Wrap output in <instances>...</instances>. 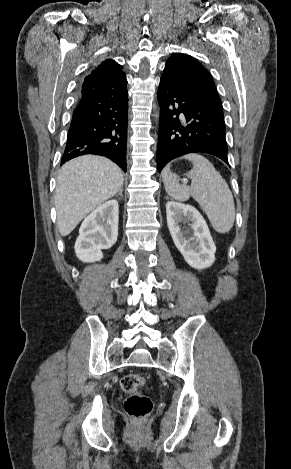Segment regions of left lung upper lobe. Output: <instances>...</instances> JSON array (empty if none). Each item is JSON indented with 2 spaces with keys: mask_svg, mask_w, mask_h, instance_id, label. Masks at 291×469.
Returning <instances> with one entry per match:
<instances>
[{
  "mask_svg": "<svg viewBox=\"0 0 291 469\" xmlns=\"http://www.w3.org/2000/svg\"><path fill=\"white\" fill-rule=\"evenodd\" d=\"M162 77L222 106L210 73L192 56L176 53L167 61Z\"/></svg>",
  "mask_w": 291,
  "mask_h": 469,
  "instance_id": "left-lung-upper-lobe-1",
  "label": "left lung upper lobe"
}]
</instances>
